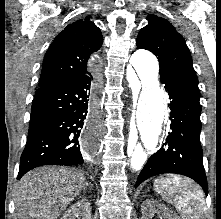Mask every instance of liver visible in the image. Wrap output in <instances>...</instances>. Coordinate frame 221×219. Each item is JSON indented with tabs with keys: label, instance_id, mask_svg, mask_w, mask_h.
<instances>
[{
	"label": "liver",
	"instance_id": "obj_1",
	"mask_svg": "<svg viewBox=\"0 0 221 219\" xmlns=\"http://www.w3.org/2000/svg\"><path fill=\"white\" fill-rule=\"evenodd\" d=\"M86 184L84 174L71 168L32 170L17 185L15 219H57Z\"/></svg>",
	"mask_w": 221,
	"mask_h": 219
}]
</instances>
